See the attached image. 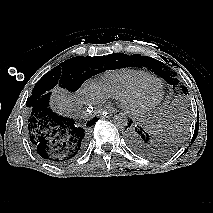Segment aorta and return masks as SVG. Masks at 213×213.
I'll return each mask as SVG.
<instances>
[{
  "label": "aorta",
  "instance_id": "obj_1",
  "mask_svg": "<svg viewBox=\"0 0 213 213\" xmlns=\"http://www.w3.org/2000/svg\"><path fill=\"white\" fill-rule=\"evenodd\" d=\"M113 123L117 128H120L123 130L128 125V118L125 114L119 113V114L114 115Z\"/></svg>",
  "mask_w": 213,
  "mask_h": 213
}]
</instances>
